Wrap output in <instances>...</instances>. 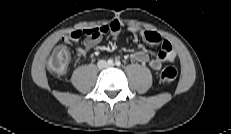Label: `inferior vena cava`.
<instances>
[{
	"mask_svg": "<svg viewBox=\"0 0 231 134\" xmlns=\"http://www.w3.org/2000/svg\"><path fill=\"white\" fill-rule=\"evenodd\" d=\"M98 67H99V68L107 67V63H106L105 61H100V62L98 63Z\"/></svg>",
	"mask_w": 231,
	"mask_h": 134,
	"instance_id": "602c4592",
	"label": "inferior vena cava"
}]
</instances>
